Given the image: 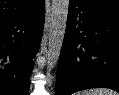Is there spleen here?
<instances>
[{
  "label": "spleen",
  "mask_w": 119,
  "mask_h": 95,
  "mask_svg": "<svg viewBox=\"0 0 119 95\" xmlns=\"http://www.w3.org/2000/svg\"><path fill=\"white\" fill-rule=\"evenodd\" d=\"M77 95H119V93L107 88H95L80 92Z\"/></svg>",
  "instance_id": "3e777b00"
}]
</instances>
